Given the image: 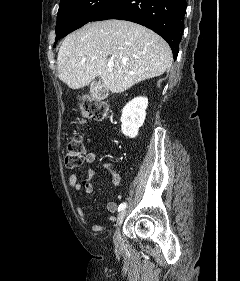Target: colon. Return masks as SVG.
<instances>
[{
    "instance_id": "colon-1",
    "label": "colon",
    "mask_w": 240,
    "mask_h": 281,
    "mask_svg": "<svg viewBox=\"0 0 240 281\" xmlns=\"http://www.w3.org/2000/svg\"><path fill=\"white\" fill-rule=\"evenodd\" d=\"M83 119L103 120L109 112V105L103 100L89 99L79 105ZM86 148L82 137L75 134L70 139L65 151V165L68 168H77L83 165L86 158Z\"/></svg>"
}]
</instances>
